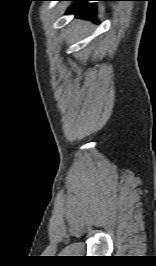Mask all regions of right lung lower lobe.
Listing matches in <instances>:
<instances>
[{"instance_id": "obj_1", "label": "right lung lower lobe", "mask_w": 156, "mask_h": 266, "mask_svg": "<svg viewBox=\"0 0 156 266\" xmlns=\"http://www.w3.org/2000/svg\"><path fill=\"white\" fill-rule=\"evenodd\" d=\"M58 1H75L76 4L72 5L69 8L68 13L76 12L78 16L94 18V14L96 12L95 4H86V2L100 1V0H58Z\"/></svg>"}]
</instances>
